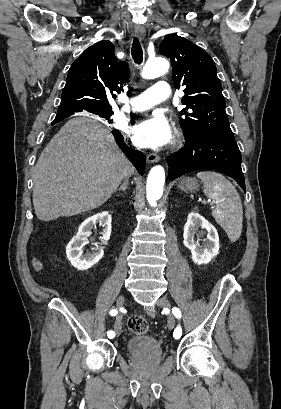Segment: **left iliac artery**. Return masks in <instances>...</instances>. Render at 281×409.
Here are the masks:
<instances>
[{"instance_id":"1","label":"left iliac artery","mask_w":281,"mask_h":409,"mask_svg":"<svg viewBox=\"0 0 281 409\" xmlns=\"http://www.w3.org/2000/svg\"><path fill=\"white\" fill-rule=\"evenodd\" d=\"M172 313L174 314V316L177 318V319H180L181 318V311L178 309V308H173L172 309ZM174 338H176V339H179L180 337H181V335H182V329H181V327L180 326H177L176 327V329H175V331H174Z\"/></svg>"}]
</instances>
